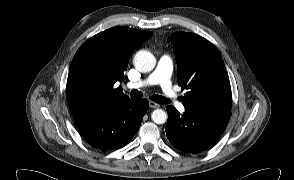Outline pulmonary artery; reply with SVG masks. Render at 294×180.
Listing matches in <instances>:
<instances>
[{
    "instance_id": "obj_1",
    "label": "pulmonary artery",
    "mask_w": 294,
    "mask_h": 180,
    "mask_svg": "<svg viewBox=\"0 0 294 180\" xmlns=\"http://www.w3.org/2000/svg\"><path fill=\"white\" fill-rule=\"evenodd\" d=\"M172 61L167 55L162 56L155 70L144 80L128 84L130 89H139L147 85H160L164 93L168 96L175 97L171 83ZM177 110L180 113L185 112V107L181 102L175 101Z\"/></svg>"
}]
</instances>
